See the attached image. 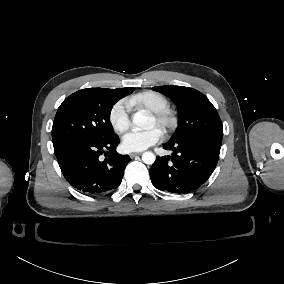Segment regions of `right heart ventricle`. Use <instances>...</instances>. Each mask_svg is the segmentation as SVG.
<instances>
[{
	"label": "right heart ventricle",
	"instance_id": "1",
	"mask_svg": "<svg viewBox=\"0 0 284 284\" xmlns=\"http://www.w3.org/2000/svg\"><path fill=\"white\" fill-rule=\"evenodd\" d=\"M135 101L154 113L166 111L170 107L168 98L162 93L154 90L142 92L140 95H138Z\"/></svg>",
	"mask_w": 284,
	"mask_h": 284
}]
</instances>
